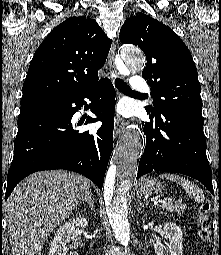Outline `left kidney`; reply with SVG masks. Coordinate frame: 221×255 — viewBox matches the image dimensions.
<instances>
[{"label":"left kidney","mask_w":221,"mask_h":255,"mask_svg":"<svg viewBox=\"0 0 221 255\" xmlns=\"http://www.w3.org/2000/svg\"><path fill=\"white\" fill-rule=\"evenodd\" d=\"M163 234L169 240L168 248L162 242L154 245L156 255H182L183 234L179 226L173 222L164 223Z\"/></svg>","instance_id":"obj_1"}]
</instances>
